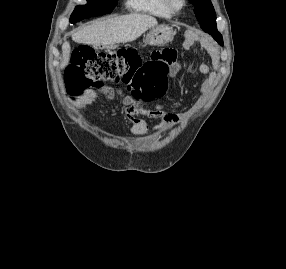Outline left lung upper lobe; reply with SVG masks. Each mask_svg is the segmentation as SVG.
Listing matches in <instances>:
<instances>
[{"label":"left lung upper lobe","instance_id":"1","mask_svg":"<svg viewBox=\"0 0 286 269\" xmlns=\"http://www.w3.org/2000/svg\"><path fill=\"white\" fill-rule=\"evenodd\" d=\"M194 6V12L201 28L208 32L220 45L223 39L216 27V13L210 0H189Z\"/></svg>","mask_w":286,"mask_h":269}]
</instances>
